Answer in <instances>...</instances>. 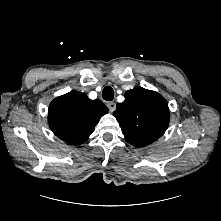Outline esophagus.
<instances>
[{
    "instance_id": "obj_1",
    "label": "esophagus",
    "mask_w": 221,
    "mask_h": 221,
    "mask_svg": "<svg viewBox=\"0 0 221 221\" xmlns=\"http://www.w3.org/2000/svg\"><path fill=\"white\" fill-rule=\"evenodd\" d=\"M107 107L109 108V110L111 112H113L115 110V108H116V104L114 102H108L107 103Z\"/></svg>"
}]
</instances>
